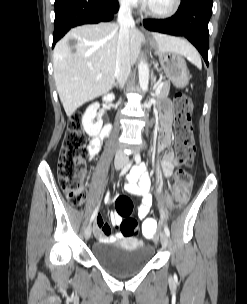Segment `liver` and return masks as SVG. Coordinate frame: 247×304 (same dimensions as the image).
I'll list each match as a JSON object with an SVG mask.
<instances>
[{"mask_svg":"<svg viewBox=\"0 0 247 304\" xmlns=\"http://www.w3.org/2000/svg\"><path fill=\"white\" fill-rule=\"evenodd\" d=\"M119 26L115 23L83 25L71 29L53 52L54 80L66 115L111 90L115 81ZM157 53L175 52L189 59L198 55L186 40L160 33L152 34ZM77 42L72 49L68 41ZM143 34L129 29L131 63L137 60Z\"/></svg>","mask_w":247,"mask_h":304,"instance_id":"obj_1","label":"liver"}]
</instances>
